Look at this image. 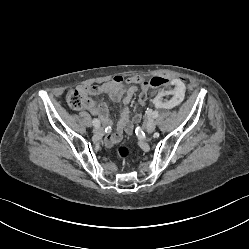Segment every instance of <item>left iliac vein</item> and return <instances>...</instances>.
Wrapping results in <instances>:
<instances>
[{
	"instance_id": "1",
	"label": "left iliac vein",
	"mask_w": 249,
	"mask_h": 249,
	"mask_svg": "<svg viewBox=\"0 0 249 249\" xmlns=\"http://www.w3.org/2000/svg\"><path fill=\"white\" fill-rule=\"evenodd\" d=\"M156 128V121L154 119H150L148 122H147V125H146V131L148 133H152Z\"/></svg>"
}]
</instances>
